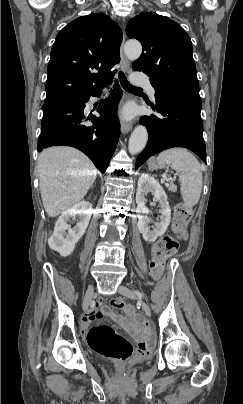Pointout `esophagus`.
Wrapping results in <instances>:
<instances>
[{"label": "esophagus", "instance_id": "obj_1", "mask_svg": "<svg viewBox=\"0 0 243 404\" xmlns=\"http://www.w3.org/2000/svg\"><path fill=\"white\" fill-rule=\"evenodd\" d=\"M124 33H123V42L121 44V48H120V56H121V60H120V66L122 68V70L126 71L129 69V62L126 59L124 52H123V45H124ZM130 130H132V124L128 123V122H121V132L123 134H127L128 132H130Z\"/></svg>", "mask_w": 243, "mask_h": 404}]
</instances>
